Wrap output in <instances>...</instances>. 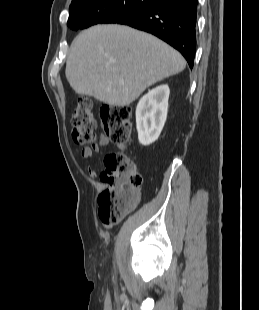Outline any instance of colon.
Here are the masks:
<instances>
[{
	"label": "colon",
	"mask_w": 259,
	"mask_h": 310,
	"mask_svg": "<svg viewBox=\"0 0 259 310\" xmlns=\"http://www.w3.org/2000/svg\"><path fill=\"white\" fill-rule=\"evenodd\" d=\"M101 120L106 137L114 144L124 147L132 130L130 107H105L101 111ZM71 122L72 139L76 144L95 145L96 121L88 98L77 101ZM101 179L107 187L98 197L99 220L104 225L117 224L138 203L142 176L129 156L116 152L105 156Z\"/></svg>",
	"instance_id": "1"
}]
</instances>
